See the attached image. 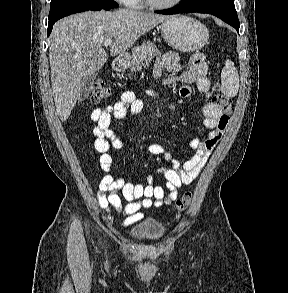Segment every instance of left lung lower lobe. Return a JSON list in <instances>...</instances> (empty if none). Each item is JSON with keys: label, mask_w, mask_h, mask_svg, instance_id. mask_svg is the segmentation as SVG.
I'll use <instances>...</instances> for the list:
<instances>
[{"label": "left lung lower lobe", "mask_w": 288, "mask_h": 293, "mask_svg": "<svg viewBox=\"0 0 288 293\" xmlns=\"http://www.w3.org/2000/svg\"><path fill=\"white\" fill-rule=\"evenodd\" d=\"M193 12L212 14L222 19L224 22L228 23L229 25L233 26L239 33L240 23L238 20L237 13L217 7V6H198V5L180 3L179 5L167 10L155 11V13L166 14V15L179 14V13H193Z\"/></svg>", "instance_id": "1"}]
</instances>
